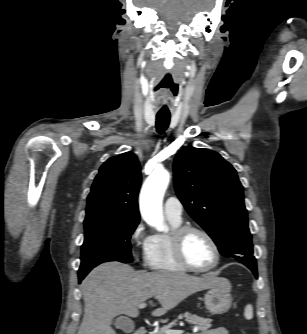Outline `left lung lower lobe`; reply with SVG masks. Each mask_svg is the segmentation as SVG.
Segmentation results:
<instances>
[{"mask_svg": "<svg viewBox=\"0 0 307 334\" xmlns=\"http://www.w3.org/2000/svg\"><path fill=\"white\" fill-rule=\"evenodd\" d=\"M252 270L253 274L257 277V267H248Z\"/></svg>", "mask_w": 307, "mask_h": 334, "instance_id": "0a47b994", "label": "left lung lower lobe"}]
</instances>
